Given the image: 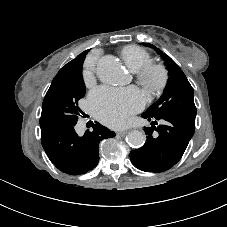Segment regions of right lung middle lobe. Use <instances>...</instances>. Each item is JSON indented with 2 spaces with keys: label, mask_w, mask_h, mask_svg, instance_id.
<instances>
[{
  "label": "right lung middle lobe",
  "mask_w": 227,
  "mask_h": 227,
  "mask_svg": "<svg viewBox=\"0 0 227 227\" xmlns=\"http://www.w3.org/2000/svg\"><path fill=\"white\" fill-rule=\"evenodd\" d=\"M82 63L74 71L56 75L53 79L42 104L41 134L58 125L77 123L81 113L78 101L85 95Z\"/></svg>",
  "instance_id": "right-lung-middle-lobe-1"
}]
</instances>
